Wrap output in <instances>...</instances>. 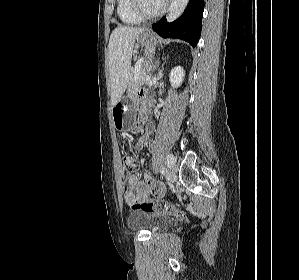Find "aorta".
Masks as SVG:
<instances>
[{"label": "aorta", "instance_id": "aorta-1", "mask_svg": "<svg viewBox=\"0 0 299 280\" xmlns=\"http://www.w3.org/2000/svg\"><path fill=\"white\" fill-rule=\"evenodd\" d=\"M189 3V0H172L171 5L169 7V12L167 15V21L172 22L176 20L179 16L182 15L184 10L186 9L187 5ZM152 104L149 101V107H151Z\"/></svg>", "mask_w": 299, "mask_h": 280}]
</instances>
